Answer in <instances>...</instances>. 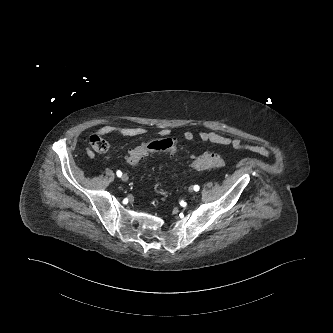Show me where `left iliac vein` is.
Instances as JSON below:
<instances>
[{"label": "left iliac vein", "mask_w": 333, "mask_h": 333, "mask_svg": "<svg viewBox=\"0 0 333 333\" xmlns=\"http://www.w3.org/2000/svg\"><path fill=\"white\" fill-rule=\"evenodd\" d=\"M188 191L192 193L194 191V188L192 186L189 187Z\"/></svg>", "instance_id": "obj_1"}]
</instances>
